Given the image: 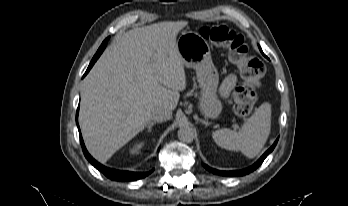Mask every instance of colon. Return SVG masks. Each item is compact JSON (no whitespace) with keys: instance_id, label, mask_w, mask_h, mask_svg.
I'll list each match as a JSON object with an SVG mask.
<instances>
[{"instance_id":"colon-1","label":"colon","mask_w":348,"mask_h":206,"mask_svg":"<svg viewBox=\"0 0 348 206\" xmlns=\"http://www.w3.org/2000/svg\"><path fill=\"white\" fill-rule=\"evenodd\" d=\"M200 35L227 49L231 61L238 66L242 84L233 92L234 111L241 117L250 115L256 104L255 88L259 86L265 72L264 63L250 54L249 45L242 35L226 26L203 27Z\"/></svg>"}]
</instances>
